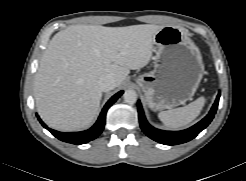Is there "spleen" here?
Masks as SVG:
<instances>
[{
  "instance_id": "1",
  "label": "spleen",
  "mask_w": 246,
  "mask_h": 181,
  "mask_svg": "<svg viewBox=\"0 0 246 181\" xmlns=\"http://www.w3.org/2000/svg\"><path fill=\"white\" fill-rule=\"evenodd\" d=\"M204 104L205 98L200 97L184 107L161 111L158 117L169 128H181L199 116Z\"/></svg>"
}]
</instances>
